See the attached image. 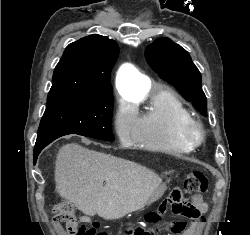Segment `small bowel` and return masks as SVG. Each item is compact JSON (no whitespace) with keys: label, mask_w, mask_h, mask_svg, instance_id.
Here are the masks:
<instances>
[{"label":"small bowel","mask_w":250,"mask_h":235,"mask_svg":"<svg viewBox=\"0 0 250 235\" xmlns=\"http://www.w3.org/2000/svg\"><path fill=\"white\" fill-rule=\"evenodd\" d=\"M168 204L163 206V211L166 209ZM182 210L174 213L177 215L187 217L191 219V222L186 226L185 222H174L168 225V229L174 235H195L196 229L203 223L202 216L207 211V205L203 202L196 201L194 203L181 202ZM137 228H130L129 235H136Z\"/></svg>","instance_id":"1"}]
</instances>
